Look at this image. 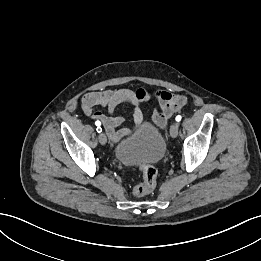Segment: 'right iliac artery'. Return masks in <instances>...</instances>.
<instances>
[{
  "label": "right iliac artery",
  "instance_id": "1",
  "mask_svg": "<svg viewBox=\"0 0 261 261\" xmlns=\"http://www.w3.org/2000/svg\"><path fill=\"white\" fill-rule=\"evenodd\" d=\"M95 125L97 126V132L98 133H101L102 132V128L100 127L101 126V122L100 121H96L95 122Z\"/></svg>",
  "mask_w": 261,
  "mask_h": 261
}]
</instances>
